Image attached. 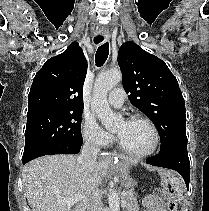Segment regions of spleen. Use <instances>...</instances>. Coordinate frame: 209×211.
<instances>
[{
  "label": "spleen",
  "instance_id": "obj_1",
  "mask_svg": "<svg viewBox=\"0 0 209 211\" xmlns=\"http://www.w3.org/2000/svg\"><path fill=\"white\" fill-rule=\"evenodd\" d=\"M164 174L168 177L170 184L172 185L174 190L177 192L178 201L181 203L182 200L184 199L183 197L184 185L182 184V181L180 180V178L175 176L170 171L164 172Z\"/></svg>",
  "mask_w": 209,
  "mask_h": 211
}]
</instances>
